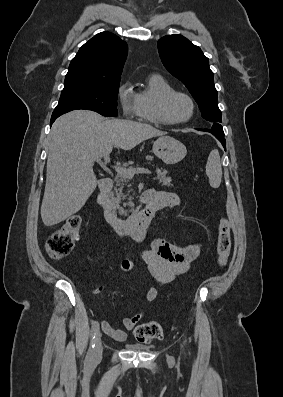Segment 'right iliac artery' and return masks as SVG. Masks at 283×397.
<instances>
[{
  "label": "right iliac artery",
  "mask_w": 283,
  "mask_h": 397,
  "mask_svg": "<svg viewBox=\"0 0 283 397\" xmlns=\"http://www.w3.org/2000/svg\"><path fill=\"white\" fill-rule=\"evenodd\" d=\"M99 331V323L98 321H94L92 324V328H91V341H90V347L87 353V359H91L93 357V351H94V347H95V338H96V334Z\"/></svg>",
  "instance_id": "obj_1"
}]
</instances>
